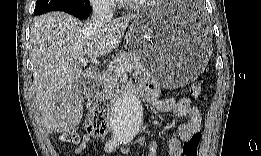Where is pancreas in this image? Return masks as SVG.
Instances as JSON below:
<instances>
[{
	"instance_id": "pancreas-1",
	"label": "pancreas",
	"mask_w": 261,
	"mask_h": 156,
	"mask_svg": "<svg viewBox=\"0 0 261 156\" xmlns=\"http://www.w3.org/2000/svg\"><path fill=\"white\" fill-rule=\"evenodd\" d=\"M126 64L133 65L135 73L146 74L149 72L147 63L141 60V56L137 52L133 51L122 54L115 58L106 71L101 75L100 84L103 89L102 94L115 95L119 91L118 76L112 70L111 66Z\"/></svg>"
}]
</instances>
